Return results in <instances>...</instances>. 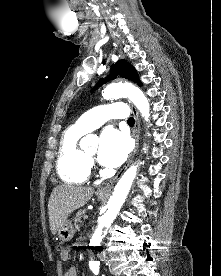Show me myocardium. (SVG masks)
<instances>
[{"mask_svg":"<svg viewBox=\"0 0 221 276\" xmlns=\"http://www.w3.org/2000/svg\"><path fill=\"white\" fill-rule=\"evenodd\" d=\"M87 157H88V159H89V160H92V157H91L90 155H89V156H87Z\"/></svg>","mask_w":221,"mask_h":276,"instance_id":"1","label":"myocardium"}]
</instances>
